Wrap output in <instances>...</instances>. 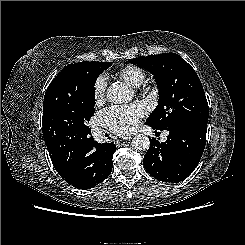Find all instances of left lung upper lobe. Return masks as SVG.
Here are the masks:
<instances>
[{
    "mask_svg": "<svg viewBox=\"0 0 245 245\" xmlns=\"http://www.w3.org/2000/svg\"><path fill=\"white\" fill-rule=\"evenodd\" d=\"M154 75L159 101L146 124L158 130L174 129L194 119L208 121L209 109L195 70L176 53L129 59Z\"/></svg>",
    "mask_w": 245,
    "mask_h": 245,
    "instance_id": "5c2ea615",
    "label": "left lung upper lobe"
}]
</instances>
